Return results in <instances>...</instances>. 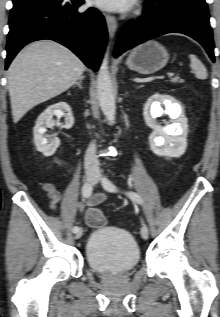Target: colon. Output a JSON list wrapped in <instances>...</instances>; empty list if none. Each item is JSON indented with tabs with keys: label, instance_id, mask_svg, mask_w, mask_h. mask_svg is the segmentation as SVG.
Here are the masks:
<instances>
[{
	"label": "colon",
	"instance_id": "5ec220e1",
	"mask_svg": "<svg viewBox=\"0 0 220 317\" xmlns=\"http://www.w3.org/2000/svg\"><path fill=\"white\" fill-rule=\"evenodd\" d=\"M86 223L91 228H100L105 225L106 218L100 210H91L86 216Z\"/></svg>",
	"mask_w": 220,
	"mask_h": 317
}]
</instances>
